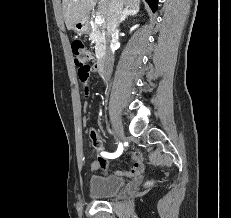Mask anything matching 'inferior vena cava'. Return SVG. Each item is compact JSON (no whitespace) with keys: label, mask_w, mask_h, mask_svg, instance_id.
Instances as JSON below:
<instances>
[{"label":"inferior vena cava","mask_w":231,"mask_h":218,"mask_svg":"<svg viewBox=\"0 0 231 218\" xmlns=\"http://www.w3.org/2000/svg\"><path fill=\"white\" fill-rule=\"evenodd\" d=\"M123 0H111L110 12L107 17V41L109 46H107V51L105 55V78L104 81L107 82L113 66L114 53L110 45L114 44L118 40V26L120 20L125 14V9H123Z\"/></svg>","instance_id":"inferior-vena-cava-1"}]
</instances>
